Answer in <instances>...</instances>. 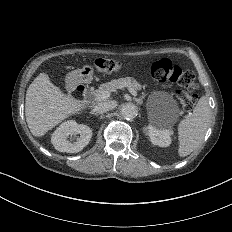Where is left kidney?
<instances>
[{
    "label": "left kidney",
    "mask_w": 232,
    "mask_h": 232,
    "mask_svg": "<svg viewBox=\"0 0 232 232\" xmlns=\"http://www.w3.org/2000/svg\"><path fill=\"white\" fill-rule=\"evenodd\" d=\"M146 133L154 145L168 147L171 144L173 131L167 128L160 119L152 120L146 127Z\"/></svg>",
    "instance_id": "1"
}]
</instances>
